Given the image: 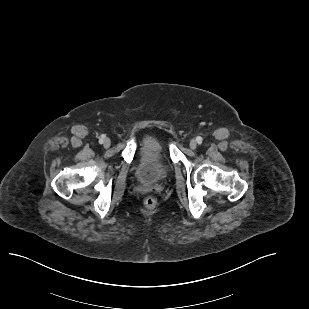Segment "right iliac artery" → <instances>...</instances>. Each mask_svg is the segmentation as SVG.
<instances>
[{
	"label": "right iliac artery",
	"instance_id": "82829eb1",
	"mask_svg": "<svg viewBox=\"0 0 309 309\" xmlns=\"http://www.w3.org/2000/svg\"><path fill=\"white\" fill-rule=\"evenodd\" d=\"M103 138H104V136H103V137H101V138L99 139V143H100V144H102V143H103Z\"/></svg>",
	"mask_w": 309,
	"mask_h": 309
}]
</instances>
